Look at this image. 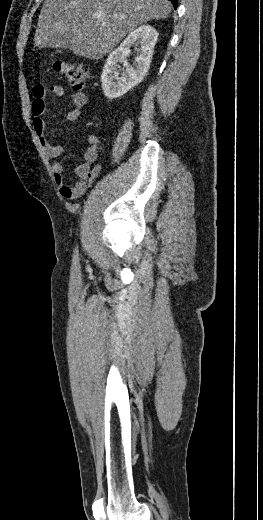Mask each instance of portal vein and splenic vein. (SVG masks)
Masks as SVG:
<instances>
[{
  "label": "portal vein and splenic vein",
  "instance_id": "portal-vein-and-splenic-vein-1",
  "mask_svg": "<svg viewBox=\"0 0 263 520\" xmlns=\"http://www.w3.org/2000/svg\"><path fill=\"white\" fill-rule=\"evenodd\" d=\"M104 16H105V15H104L103 13H95V14L93 15V17L98 18V19H101V18H103ZM114 18H123V19H124L125 17H124V16H121V17H119V16H114Z\"/></svg>",
  "mask_w": 263,
  "mask_h": 520
}]
</instances>
